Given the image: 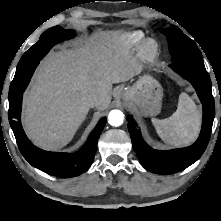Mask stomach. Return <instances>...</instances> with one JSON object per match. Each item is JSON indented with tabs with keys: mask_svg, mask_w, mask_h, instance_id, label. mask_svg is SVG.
<instances>
[{
	"mask_svg": "<svg viewBox=\"0 0 221 221\" xmlns=\"http://www.w3.org/2000/svg\"><path fill=\"white\" fill-rule=\"evenodd\" d=\"M163 89L156 79L145 74L125 89L123 98L133 104L144 116H155L161 110Z\"/></svg>",
	"mask_w": 221,
	"mask_h": 221,
	"instance_id": "0dacf381",
	"label": "stomach"
}]
</instances>
